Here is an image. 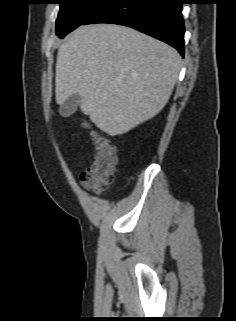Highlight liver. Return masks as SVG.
I'll return each mask as SVG.
<instances>
[{"label":"liver","mask_w":236,"mask_h":321,"mask_svg":"<svg viewBox=\"0 0 236 321\" xmlns=\"http://www.w3.org/2000/svg\"><path fill=\"white\" fill-rule=\"evenodd\" d=\"M180 65L173 47L135 29L83 25L58 49L56 102L78 94L81 111L101 131L121 135L162 110Z\"/></svg>","instance_id":"liver-1"}]
</instances>
